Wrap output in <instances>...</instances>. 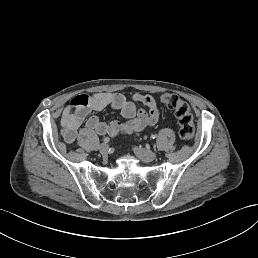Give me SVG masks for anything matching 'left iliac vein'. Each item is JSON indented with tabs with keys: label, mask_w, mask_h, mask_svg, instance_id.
Masks as SVG:
<instances>
[{
	"label": "left iliac vein",
	"mask_w": 258,
	"mask_h": 258,
	"mask_svg": "<svg viewBox=\"0 0 258 258\" xmlns=\"http://www.w3.org/2000/svg\"><path fill=\"white\" fill-rule=\"evenodd\" d=\"M133 152L136 153L137 156H139L140 159L143 160L144 163H149L150 161H153L156 159V152H150L148 150H143L141 147H133Z\"/></svg>",
	"instance_id": "1"
}]
</instances>
